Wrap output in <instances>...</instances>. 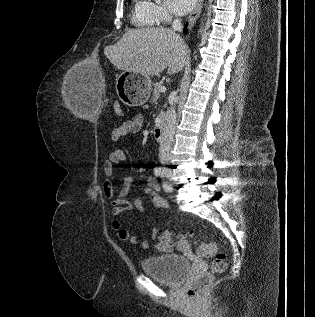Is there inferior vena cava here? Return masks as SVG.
I'll return each instance as SVG.
<instances>
[{
    "label": "inferior vena cava",
    "instance_id": "inferior-vena-cava-1",
    "mask_svg": "<svg viewBox=\"0 0 315 317\" xmlns=\"http://www.w3.org/2000/svg\"><path fill=\"white\" fill-rule=\"evenodd\" d=\"M172 28L174 31H181L182 30V23L181 20L176 18L173 21ZM176 129V111L175 107L172 105L171 111L167 118V124L164 129L163 137L160 141L159 147V157L161 163H165L170 158V148L174 138Z\"/></svg>",
    "mask_w": 315,
    "mask_h": 317
}]
</instances>
